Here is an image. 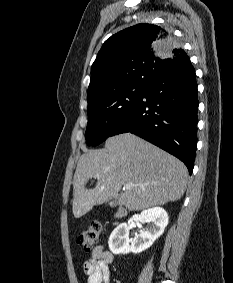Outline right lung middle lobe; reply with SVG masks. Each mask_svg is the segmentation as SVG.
Masks as SVG:
<instances>
[{"instance_id":"dd1d6c3e","label":"right lung middle lobe","mask_w":233,"mask_h":283,"mask_svg":"<svg viewBox=\"0 0 233 283\" xmlns=\"http://www.w3.org/2000/svg\"><path fill=\"white\" fill-rule=\"evenodd\" d=\"M147 86L132 85L110 92L88 105L86 141L97 146L109 136L142 97Z\"/></svg>"}]
</instances>
